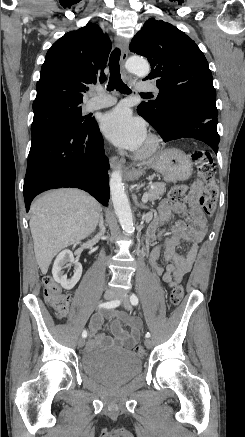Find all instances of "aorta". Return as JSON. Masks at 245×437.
Instances as JSON below:
<instances>
[{"label":"aorta","mask_w":245,"mask_h":437,"mask_svg":"<svg viewBox=\"0 0 245 437\" xmlns=\"http://www.w3.org/2000/svg\"><path fill=\"white\" fill-rule=\"evenodd\" d=\"M126 68L130 73L139 77L147 76L150 71L147 60L139 56L130 57L126 62ZM110 193L115 214L119 219L122 229L128 234H132L135 229L134 222L129 201L124 191L120 170H115L111 174Z\"/></svg>","instance_id":"obj_1"}]
</instances>
